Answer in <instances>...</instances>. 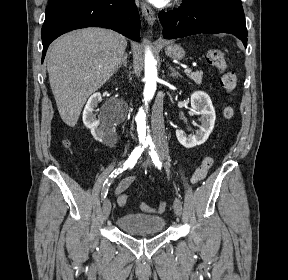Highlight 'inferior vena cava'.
<instances>
[{"label": "inferior vena cava", "instance_id": "602c4592", "mask_svg": "<svg viewBox=\"0 0 288 280\" xmlns=\"http://www.w3.org/2000/svg\"><path fill=\"white\" fill-rule=\"evenodd\" d=\"M163 97H169V92H157L154 100L155 105H151V137H153L155 143H157L158 152H155V157L159 159H166L168 147L170 142L167 141V134L165 132L164 125V113L162 109Z\"/></svg>", "mask_w": 288, "mask_h": 280}]
</instances>
